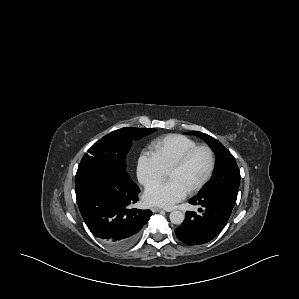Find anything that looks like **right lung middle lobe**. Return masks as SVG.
<instances>
[{
    "label": "right lung middle lobe",
    "mask_w": 299,
    "mask_h": 299,
    "mask_svg": "<svg viewBox=\"0 0 299 299\" xmlns=\"http://www.w3.org/2000/svg\"><path fill=\"white\" fill-rule=\"evenodd\" d=\"M154 131L155 129L135 127L115 130L105 135L87 151L88 153L83 156L78 168L89 164H100L131 180L126 172V154L131 147V142L132 140H139Z\"/></svg>",
    "instance_id": "right-lung-middle-lobe-1"
}]
</instances>
